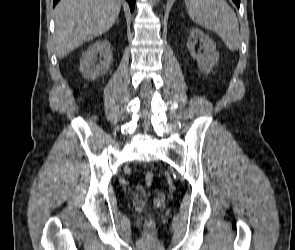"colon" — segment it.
Instances as JSON below:
<instances>
[{"label": "colon", "instance_id": "1", "mask_svg": "<svg viewBox=\"0 0 295 250\" xmlns=\"http://www.w3.org/2000/svg\"><path fill=\"white\" fill-rule=\"evenodd\" d=\"M154 179H155V176L152 172L146 173L144 177L145 184L150 186L153 183Z\"/></svg>", "mask_w": 295, "mask_h": 250}]
</instances>
